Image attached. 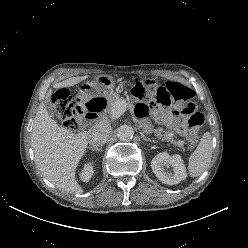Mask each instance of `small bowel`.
<instances>
[{"mask_svg":"<svg viewBox=\"0 0 248 248\" xmlns=\"http://www.w3.org/2000/svg\"><path fill=\"white\" fill-rule=\"evenodd\" d=\"M150 112H152V109L147 103L138 104L136 108V114L139 117H145ZM153 114L157 121L166 124L168 127L174 128L182 135H188L189 129L187 124L181 122L178 116L157 112H153Z\"/></svg>","mask_w":248,"mask_h":248,"instance_id":"small-bowel-1","label":"small bowel"}]
</instances>
